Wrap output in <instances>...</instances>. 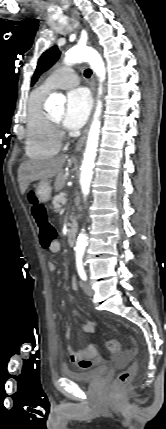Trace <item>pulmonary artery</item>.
Returning a JSON list of instances; mask_svg holds the SVG:
<instances>
[{
	"label": "pulmonary artery",
	"instance_id": "pulmonary-artery-1",
	"mask_svg": "<svg viewBox=\"0 0 166 429\" xmlns=\"http://www.w3.org/2000/svg\"><path fill=\"white\" fill-rule=\"evenodd\" d=\"M78 81L77 73L68 67H64L53 72L41 87L48 91L54 88H69L75 86Z\"/></svg>",
	"mask_w": 166,
	"mask_h": 429
}]
</instances>
